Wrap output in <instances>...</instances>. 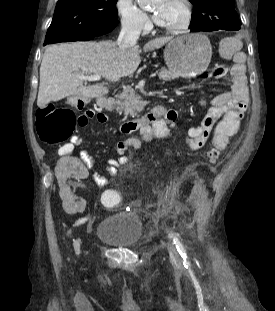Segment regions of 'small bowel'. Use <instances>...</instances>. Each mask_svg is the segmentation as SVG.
<instances>
[{
  "label": "small bowel",
  "instance_id": "small-bowel-1",
  "mask_svg": "<svg viewBox=\"0 0 275 311\" xmlns=\"http://www.w3.org/2000/svg\"><path fill=\"white\" fill-rule=\"evenodd\" d=\"M242 44L236 38H226L222 41L219 50V57H232L233 66L231 69V87L228 91L222 92L214 96L208 103V110L204 118L198 125L189 129V146L196 149L202 146L213 132V128L219 123V118H240L242 120L244 112L248 106L249 94L246 77V58L241 51ZM205 101H201V105H206ZM88 119H94L98 124H102L107 120L106 115L98 113L93 109L85 111ZM177 112L174 109L164 107V110H154L149 114L147 125L140 128V134L146 142L154 139H168L171 136L172 129L175 127ZM220 133L223 130H218ZM236 134L239 130H231ZM84 139L79 136L72 138V144L75 146L82 145ZM72 147V145L70 144ZM132 147L139 149L141 142L137 137L127 138L116 144L117 158L108 161V167L105 175L95 174L96 183L105 187L109 180L116 175L120 166L126 165L129 158L126 156L127 149ZM64 148H60L58 156V169H56L57 180H60V193L62 199L61 213H70L71 216H78L79 212L85 209V201L83 198L76 197L70 184L71 180H85L88 174L87 168H91L94 164L93 157L86 151L80 152L81 160H75L74 155H66L63 153ZM85 165V166H84ZM70 171V173L68 172Z\"/></svg>",
  "mask_w": 275,
  "mask_h": 311
}]
</instances>
